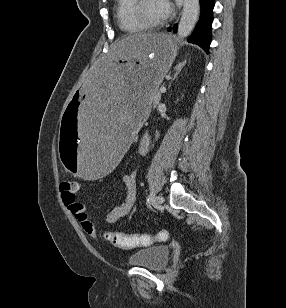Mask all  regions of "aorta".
Masks as SVG:
<instances>
[{
	"label": "aorta",
	"mask_w": 286,
	"mask_h": 308,
	"mask_svg": "<svg viewBox=\"0 0 286 308\" xmlns=\"http://www.w3.org/2000/svg\"><path fill=\"white\" fill-rule=\"evenodd\" d=\"M200 14L199 0H184L183 11L178 24L177 35L183 39L190 35Z\"/></svg>",
	"instance_id": "762f6f07"
}]
</instances>
